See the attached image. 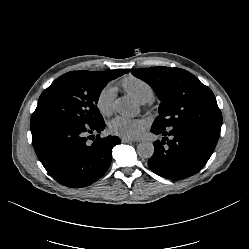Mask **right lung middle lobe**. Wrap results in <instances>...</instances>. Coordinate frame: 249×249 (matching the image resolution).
Here are the masks:
<instances>
[{"label": "right lung middle lobe", "instance_id": "obj_1", "mask_svg": "<svg viewBox=\"0 0 249 249\" xmlns=\"http://www.w3.org/2000/svg\"><path fill=\"white\" fill-rule=\"evenodd\" d=\"M126 69L108 71H72L57 78L39 97L31 122L61 119L87 125L104 119L96 104L107 83Z\"/></svg>", "mask_w": 249, "mask_h": 249}]
</instances>
